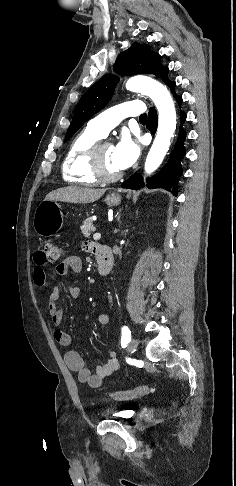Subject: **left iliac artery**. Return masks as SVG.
<instances>
[{
	"mask_svg": "<svg viewBox=\"0 0 236 486\" xmlns=\"http://www.w3.org/2000/svg\"><path fill=\"white\" fill-rule=\"evenodd\" d=\"M131 341V332L127 326L122 327V337H121V345L122 347H126V345Z\"/></svg>",
	"mask_w": 236,
	"mask_h": 486,
	"instance_id": "obj_1",
	"label": "left iliac artery"
}]
</instances>
